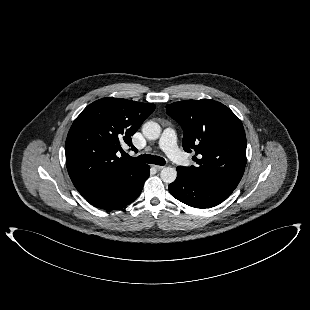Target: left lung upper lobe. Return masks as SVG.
Masks as SVG:
<instances>
[{"instance_id": "1", "label": "left lung upper lobe", "mask_w": 310, "mask_h": 310, "mask_svg": "<svg viewBox=\"0 0 310 310\" xmlns=\"http://www.w3.org/2000/svg\"><path fill=\"white\" fill-rule=\"evenodd\" d=\"M166 112L183 131V148L195 151L196 166L186 173L234 190L246 166V136L238 117L220 102L201 99L179 101Z\"/></svg>"}]
</instances>
